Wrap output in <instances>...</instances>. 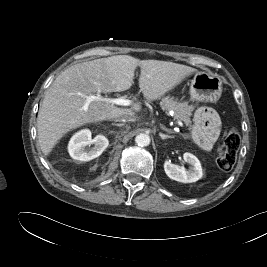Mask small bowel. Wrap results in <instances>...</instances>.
<instances>
[{"mask_svg":"<svg viewBox=\"0 0 267 267\" xmlns=\"http://www.w3.org/2000/svg\"><path fill=\"white\" fill-rule=\"evenodd\" d=\"M193 138L204 150L212 148L220 133L221 119L218 113L209 107L198 108L193 117Z\"/></svg>","mask_w":267,"mask_h":267,"instance_id":"c3829d8e","label":"small bowel"}]
</instances>
